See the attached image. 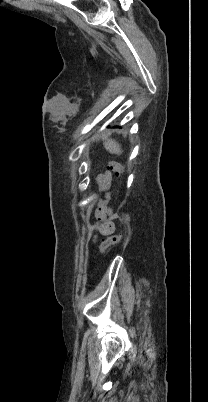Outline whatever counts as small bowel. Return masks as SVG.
Instances as JSON below:
<instances>
[{
    "mask_svg": "<svg viewBox=\"0 0 208 402\" xmlns=\"http://www.w3.org/2000/svg\"><path fill=\"white\" fill-rule=\"evenodd\" d=\"M111 180V173L106 172L100 177V184L102 188H106ZM109 209L106 207L105 204H101L96 211L95 218L98 223V231L102 235H110L114 232L115 226L113 222L108 220L107 216L109 214Z\"/></svg>",
    "mask_w": 208,
    "mask_h": 402,
    "instance_id": "obj_1",
    "label": "small bowel"
}]
</instances>
